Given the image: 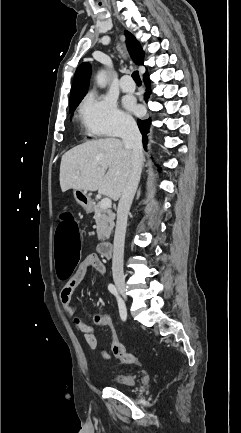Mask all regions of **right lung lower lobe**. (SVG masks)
<instances>
[{"instance_id":"98d812e1","label":"right lung lower lobe","mask_w":241,"mask_h":433,"mask_svg":"<svg viewBox=\"0 0 241 433\" xmlns=\"http://www.w3.org/2000/svg\"><path fill=\"white\" fill-rule=\"evenodd\" d=\"M143 79H144V82L146 85L145 100L147 102L149 99L150 93H151L149 75L148 74L144 75ZM137 123H138V127L142 133L144 148L146 149V144L148 141L147 140V133L149 132V127L151 124V118L145 119V120L138 119Z\"/></svg>"}]
</instances>
